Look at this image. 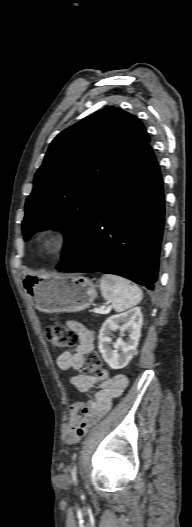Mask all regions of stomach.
I'll list each match as a JSON object with an SVG mask.
<instances>
[{
    "instance_id": "0dacf381",
    "label": "stomach",
    "mask_w": 192,
    "mask_h": 527,
    "mask_svg": "<svg viewBox=\"0 0 192 527\" xmlns=\"http://www.w3.org/2000/svg\"><path fill=\"white\" fill-rule=\"evenodd\" d=\"M24 287L34 306L45 313L79 312L87 309L97 297V286L80 275L27 276Z\"/></svg>"
}]
</instances>
